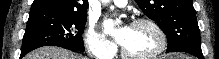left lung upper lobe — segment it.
Returning <instances> with one entry per match:
<instances>
[{"mask_svg":"<svg viewBox=\"0 0 219 59\" xmlns=\"http://www.w3.org/2000/svg\"><path fill=\"white\" fill-rule=\"evenodd\" d=\"M143 13L158 21L168 38L167 50L182 43H200V30L192 0H135Z\"/></svg>","mask_w":219,"mask_h":59,"instance_id":"left-lung-upper-lobe-1","label":"left lung upper lobe"}]
</instances>
